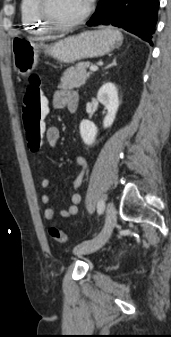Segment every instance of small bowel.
Masks as SVG:
<instances>
[{"label":"small bowel","mask_w":171,"mask_h":337,"mask_svg":"<svg viewBox=\"0 0 171 337\" xmlns=\"http://www.w3.org/2000/svg\"><path fill=\"white\" fill-rule=\"evenodd\" d=\"M78 103L79 96L72 90L58 89L52 96V107L54 109H62L66 107L69 110L71 105H76V107H78ZM45 136L50 146H56L60 140V130L54 125L47 126L45 129ZM75 164L81 169V171L72 183L71 204L67 208L60 210H57L54 207H47L44 212V217L48 221H54L57 214L63 218H71L79 212V204L81 202L79 189L84 181L88 164L86 158L83 156L76 157ZM40 185L43 189H47L50 185V180L48 178H42ZM41 201L43 204L49 205L52 202V198L49 194L45 193L41 196Z\"/></svg>","instance_id":"obj_1"}]
</instances>
